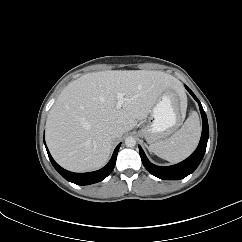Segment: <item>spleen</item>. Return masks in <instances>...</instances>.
<instances>
[{
    "label": "spleen",
    "mask_w": 242,
    "mask_h": 242,
    "mask_svg": "<svg viewBox=\"0 0 242 242\" xmlns=\"http://www.w3.org/2000/svg\"><path fill=\"white\" fill-rule=\"evenodd\" d=\"M201 135L198 114L191 111L182 127L170 138L150 145L149 150L162 159L177 163L187 158L197 147Z\"/></svg>",
    "instance_id": "obj_1"
}]
</instances>
